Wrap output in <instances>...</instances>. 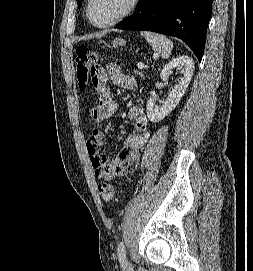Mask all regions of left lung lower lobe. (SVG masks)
<instances>
[{"label":"left lung lower lobe","instance_id":"left-lung-lower-lobe-1","mask_svg":"<svg viewBox=\"0 0 253 271\" xmlns=\"http://www.w3.org/2000/svg\"><path fill=\"white\" fill-rule=\"evenodd\" d=\"M213 0H139L136 11L117 26L178 37L201 61Z\"/></svg>","mask_w":253,"mask_h":271}]
</instances>
